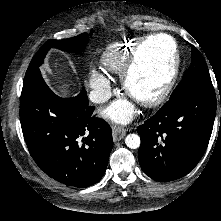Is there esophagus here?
<instances>
[{"instance_id":"obj_1","label":"esophagus","mask_w":221,"mask_h":221,"mask_svg":"<svg viewBox=\"0 0 221 221\" xmlns=\"http://www.w3.org/2000/svg\"><path fill=\"white\" fill-rule=\"evenodd\" d=\"M125 134H126V132L122 127L117 126V125L112 126V135H113V140L115 142L123 139Z\"/></svg>"}]
</instances>
